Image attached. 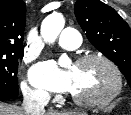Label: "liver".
Listing matches in <instances>:
<instances>
[{
    "label": "liver",
    "mask_w": 131,
    "mask_h": 115,
    "mask_svg": "<svg viewBox=\"0 0 131 115\" xmlns=\"http://www.w3.org/2000/svg\"><path fill=\"white\" fill-rule=\"evenodd\" d=\"M0 115H26L23 109L18 106H8L0 103ZM44 115V114H43ZM46 115H73L69 112H48Z\"/></svg>",
    "instance_id": "1"
}]
</instances>
